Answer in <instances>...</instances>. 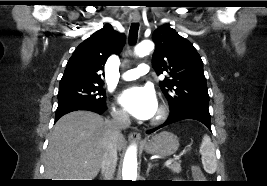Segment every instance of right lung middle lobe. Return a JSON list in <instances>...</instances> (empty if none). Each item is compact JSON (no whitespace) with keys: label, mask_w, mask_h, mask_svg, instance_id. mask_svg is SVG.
I'll list each match as a JSON object with an SVG mask.
<instances>
[{"label":"right lung middle lobe","mask_w":267,"mask_h":186,"mask_svg":"<svg viewBox=\"0 0 267 186\" xmlns=\"http://www.w3.org/2000/svg\"><path fill=\"white\" fill-rule=\"evenodd\" d=\"M106 94L101 84H68L59 86L58 103L88 101L105 104Z\"/></svg>","instance_id":"1"}]
</instances>
